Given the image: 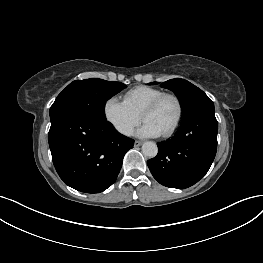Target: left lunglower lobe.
<instances>
[{
    "mask_svg": "<svg viewBox=\"0 0 263 263\" xmlns=\"http://www.w3.org/2000/svg\"><path fill=\"white\" fill-rule=\"evenodd\" d=\"M218 122L214 113L195 116L183 123L158 154L147 161L162 185L184 189L197 183L209 170L217 151Z\"/></svg>",
    "mask_w": 263,
    "mask_h": 263,
    "instance_id": "obj_1",
    "label": "left lung lower lobe"
}]
</instances>
